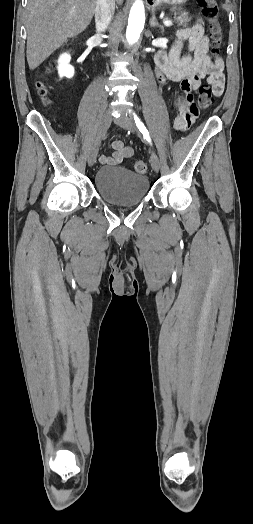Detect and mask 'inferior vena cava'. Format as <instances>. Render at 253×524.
Returning a JSON list of instances; mask_svg holds the SVG:
<instances>
[{
    "label": "inferior vena cava",
    "mask_w": 253,
    "mask_h": 524,
    "mask_svg": "<svg viewBox=\"0 0 253 524\" xmlns=\"http://www.w3.org/2000/svg\"><path fill=\"white\" fill-rule=\"evenodd\" d=\"M115 11V0H97L95 8V25L97 37L110 24Z\"/></svg>",
    "instance_id": "obj_1"
}]
</instances>
